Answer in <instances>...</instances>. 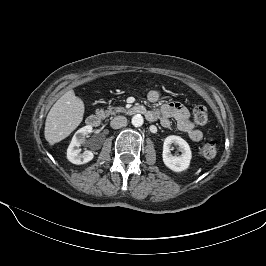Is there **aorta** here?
<instances>
[{
  "mask_svg": "<svg viewBox=\"0 0 266 266\" xmlns=\"http://www.w3.org/2000/svg\"><path fill=\"white\" fill-rule=\"evenodd\" d=\"M143 117L140 114H136L132 117V125L134 127H140L143 125Z\"/></svg>",
  "mask_w": 266,
  "mask_h": 266,
  "instance_id": "aorta-1",
  "label": "aorta"
}]
</instances>
